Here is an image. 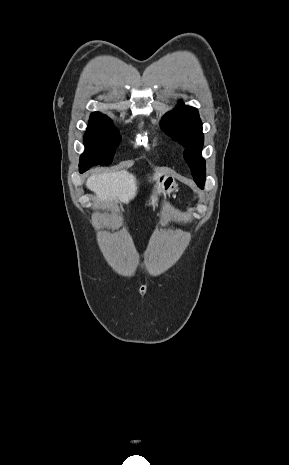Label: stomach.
I'll list each match as a JSON object with an SVG mask.
<instances>
[{"mask_svg": "<svg viewBox=\"0 0 289 465\" xmlns=\"http://www.w3.org/2000/svg\"><path fill=\"white\" fill-rule=\"evenodd\" d=\"M177 187L178 184L173 177L168 175H160L156 180L153 189V195L149 200V204L155 207L161 194L170 195L176 191Z\"/></svg>", "mask_w": 289, "mask_h": 465, "instance_id": "1", "label": "stomach"}]
</instances>
